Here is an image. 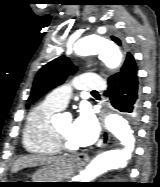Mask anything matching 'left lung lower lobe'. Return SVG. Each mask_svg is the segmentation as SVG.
<instances>
[{"label": "left lung lower lobe", "mask_w": 160, "mask_h": 187, "mask_svg": "<svg viewBox=\"0 0 160 187\" xmlns=\"http://www.w3.org/2000/svg\"><path fill=\"white\" fill-rule=\"evenodd\" d=\"M137 71L135 60L129 55L120 72L108 79V89L105 91L111 105L133 122L139 118L142 107Z\"/></svg>", "instance_id": "left-lung-lower-lobe-1"}]
</instances>
